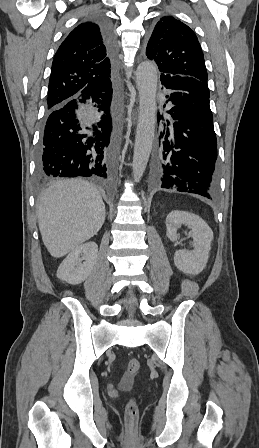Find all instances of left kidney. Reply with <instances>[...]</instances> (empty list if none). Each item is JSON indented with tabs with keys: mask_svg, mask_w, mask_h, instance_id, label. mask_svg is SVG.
<instances>
[{
	"mask_svg": "<svg viewBox=\"0 0 259 448\" xmlns=\"http://www.w3.org/2000/svg\"><path fill=\"white\" fill-rule=\"evenodd\" d=\"M182 224L191 228V238L194 240L192 252L188 250H177L174 254V262L176 268L184 272V274H191L197 276L204 270L211 250V242L213 240V232L208 224L189 212H179L173 210L166 218L167 238L171 242L178 240L177 230L181 228Z\"/></svg>",
	"mask_w": 259,
	"mask_h": 448,
	"instance_id": "1",
	"label": "left kidney"
}]
</instances>
